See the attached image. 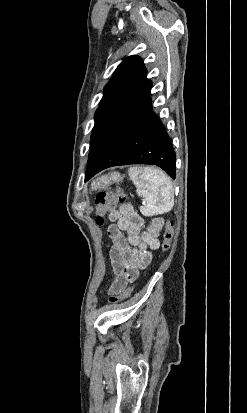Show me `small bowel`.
I'll list each match as a JSON object with an SVG mask.
<instances>
[{
	"label": "small bowel",
	"mask_w": 247,
	"mask_h": 413,
	"mask_svg": "<svg viewBox=\"0 0 247 413\" xmlns=\"http://www.w3.org/2000/svg\"><path fill=\"white\" fill-rule=\"evenodd\" d=\"M109 219L116 224L108 230L112 242L109 258L112 271L126 280H114L108 292L109 298H118L134 281L139 271L148 267L153 255L150 249L160 246L159 235L163 220L153 219L145 224L144 218L129 203H122L109 212ZM126 234V235H125Z\"/></svg>",
	"instance_id": "small-bowel-1"
}]
</instances>
